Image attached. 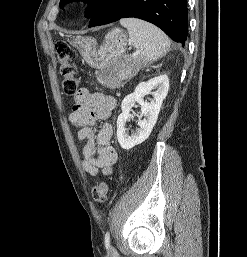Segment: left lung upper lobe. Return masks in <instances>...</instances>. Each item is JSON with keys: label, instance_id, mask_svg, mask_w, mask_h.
<instances>
[{"label": "left lung upper lobe", "instance_id": "1", "mask_svg": "<svg viewBox=\"0 0 247 257\" xmlns=\"http://www.w3.org/2000/svg\"><path fill=\"white\" fill-rule=\"evenodd\" d=\"M76 0H60V8L63 9V7L70 2H73ZM89 3V9L86 11V17H90L93 15V13L96 11V9L101 5V3L104 0H81Z\"/></svg>", "mask_w": 247, "mask_h": 257}]
</instances>
